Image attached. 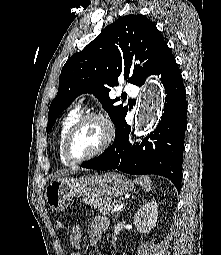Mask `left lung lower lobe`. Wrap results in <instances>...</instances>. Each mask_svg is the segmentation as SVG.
<instances>
[{
    "instance_id": "0a47b994",
    "label": "left lung lower lobe",
    "mask_w": 221,
    "mask_h": 255,
    "mask_svg": "<svg viewBox=\"0 0 221 255\" xmlns=\"http://www.w3.org/2000/svg\"><path fill=\"white\" fill-rule=\"evenodd\" d=\"M151 74L160 77L166 94L164 113L154 133L140 144L131 146L128 142L131 127L125 121V115L116 126L111 147L81 166L96 170L117 169L134 175H161L171 180L179 192L187 102L181 72L168 46L163 49Z\"/></svg>"
}]
</instances>
